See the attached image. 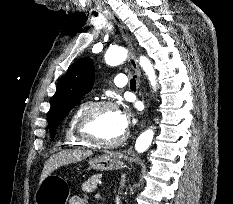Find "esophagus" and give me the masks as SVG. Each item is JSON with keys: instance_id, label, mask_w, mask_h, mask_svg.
<instances>
[{"instance_id": "esophagus-1", "label": "esophagus", "mask_w": 233, "mask_h": 204, "mask_svg": "<svg viewBox=\"0 0 233 204\" xmlns=\"http://www.w3.org/2000/svg\"><path fill=\"white\" fill-rule=\"evenodd\" d=\"M108 15L121 29L123 36H124V39L127 42L128 46L131 50L130 56H129L130 65L137 72V74L140 78L141 72H140V69L138 67L136 56L133 52V38H132V36L130 35L128 29L126 28V26L123 24V22L119 19V17L117 15H115L114 13H111V12H108Z\"/></svg>"}]
</instances>
